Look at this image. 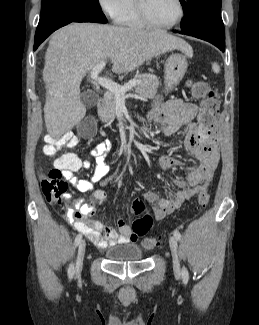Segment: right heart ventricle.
Here are the masks:
<instances>
[{"mask_svg": "<svg viewBox=\"0 0 259 325\" xmlns=\"http://www.w3.org/2000/svg\"><path fill=\"white\" fill-rule=\"evenodd\" d=\"M117 22L123 26L132 28H142L144 23L139 17L136 0H131L127 9L117 19Z\"/></svg>", "mask_w": 259, "mask_h": 325, "instance_id": "obj_1", "label": "right heart ventricle"}]
</instances>
